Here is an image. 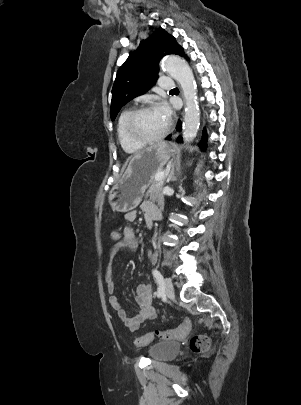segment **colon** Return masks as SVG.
I'll list each match as a JSON object with an SVG mask.
<instances>
[{
  "instance_id": "1",
  "label": "colon",
  "mask_w": 301,
  "mask_h": 405,
  "mask_svg": "<svg viewBox=\"0 0 301 405\" xmlns=\"http://www.w3.org/2000/svg\"><path fill=\"white\" fill-rule=\"evenodd\" d=\"M115 228V227H114ZM119 231L114 230L110 234V240L112 243L118 242ZM191 328L190 320H185L176 329L172 330H158L155 329L144 336L135 339V345L145 346L149 344L153 339L171 340L185 337ZM190 349L194 353H202L208 350L210 346V338L206 335H195L190 338Z\"/></svg>"
}]
</instances>
